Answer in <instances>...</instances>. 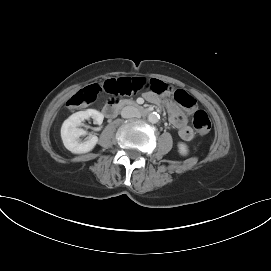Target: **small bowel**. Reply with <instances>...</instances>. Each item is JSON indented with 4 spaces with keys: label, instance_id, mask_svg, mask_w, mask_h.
Listing matches in <instances>:
<instances>
[{
    "label": "small bowel",
    "instance_id": "1",
    "mask_svg": "<svg viewBox=\"0 0 271 271\" xmlns=\"http://www.w3.org/2000/svg\"><path fill=\"white\" fill-rule=\"evenodd\" d=\"M148 82V91L144 94V98L147 101L158 103L160 101L159 95L170 93V87L168 86L167 80H162L161 76H150ZM167 108L170 113V121L178 130L180 138L184 141L192 140L194 132L187 124L186 117L183 115L180 108L173 102H167Z\"/></svg>",
    "mask_w": 271,
    "mask_h": 271
}]
</instances>
